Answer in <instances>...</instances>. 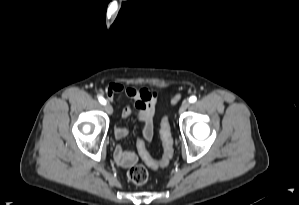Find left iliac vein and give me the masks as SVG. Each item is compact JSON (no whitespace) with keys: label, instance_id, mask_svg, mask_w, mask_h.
<instances>
[{"label":"left iliac vein","instance_id":"4c4485c4","mask_svg":"<svg viewBox=\"0 0 299 205\" xmlns=\"http://www.w3.org/2000/svg\"><path fill=\"white\" fill-rule=\"evenodd\" d=\"M189 106H190V102L187 100H184L181 104L179 112L183 113L185 110H187L189 108Z\"/></svg>","mask_w":299,"mask_h":205}]
</instances>
